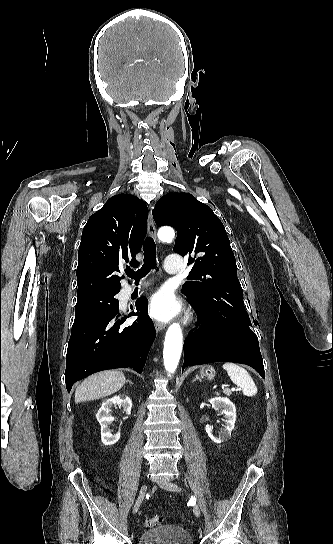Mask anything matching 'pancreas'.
Segmentation results:
<instances>
[{
    "label": "pancreas",
    "mask_w": 333,
    "mask_h": 544,
    "mask_svg": "<svg viewBox=\"0 0 333 544\" xmlns=\"http://www.w3.org/2000/svg\"><path fill=\"white\" fill-rule=\"evenodd\" d=\"M224 394L227 395V396H230L231 395V391H224Z\"/></svg>",
    "instance_id": "cf45deb5"
}]
</instances>
